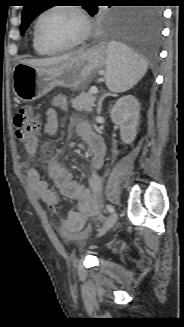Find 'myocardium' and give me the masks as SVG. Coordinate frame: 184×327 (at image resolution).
Masks as SVG:
<instances>
[{
    "instance_id": "1",
    "label": "myocardium",
    "mask_w": 184,
    "mask_h": 327,
    "mask_svg": "<svg viewBox=\"0 0 184 327\" xmlns=\"http://www.w3.org/2000/svg\"><path fill=\"white\" fill-rule=\"evenodd\" d=\"M60 9L69 10V11H72L73 13H75L79 17V19L83 25V32L77 40L73 41L70 44H66L63 46H52V45L48 44L47 42H45L43 40V38L41 37L40 24H41V21L43 20V18L47 14H49L50 12H53L55 10H60ZM90 34H91V23H90V20H89L87 14L81 7L76 6V5H71V4H58V5H53V6L48 7L38 16V18L35 22V25H34V37H35L37 43L42 48L46 49L47 51L53 52V53L67 51V50H70V49H73V48H76V47L82 45L89 38Z\"/></svg>"
}]
</instances>
